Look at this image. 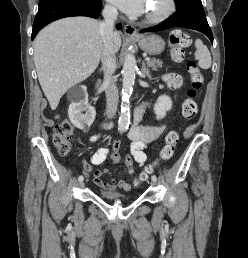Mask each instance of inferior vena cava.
Listing matches in <instances>:
<instances>
[{
    "mask_svg": "<svg viewBox=\"0 0 248 258\" xmlns=\"http://www.w3.org/2000/svg\"><path fill=\"white\" fill-rule=\"evenodd\" d=\"M104 20L100 23L102 33L101 61L104 72V83L106 87V115L112 118L117 109L118 91L113 74L116 70V56L113 45V28L117 19L118 11L111 5H106L102 12Z\"/></svg>",
    "mask_w": 248,
    "mask_h": 258,
    "instance_id": "obj_1",
    "label": "inferior vena cava"
}]
</instances>
